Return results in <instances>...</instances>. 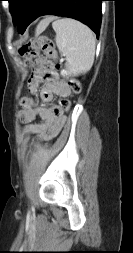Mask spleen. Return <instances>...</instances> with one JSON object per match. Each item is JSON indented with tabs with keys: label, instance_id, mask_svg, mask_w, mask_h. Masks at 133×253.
Wrapping results in <instances>:
<instances>
[{
	"label": "spleen",
	"instance_id": "3e777b00",
	"mask_svg": "<svg viewBox=\"0 0 133 253\" xmlns=\"http://www.w3.org/2000/svg\"><path fill=\"white\" fill-rule=\"evenodd\" d=\"M52 27L56 33V45L66 57L65 75L86 73L95 57V36L83 23L63 18L55 20Z\"/></svg>",
	"mask_w": 133,
	"mask_h": 253
}]
</instances>
